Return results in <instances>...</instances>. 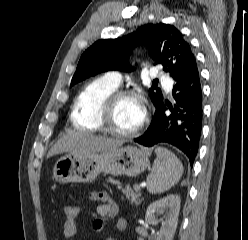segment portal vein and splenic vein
Wrapping results in <instances>:
<instances>
[{"label": "portal vein and splenic vein", "instance_id": "obj_1", "mask_svg": "<svg viewBox=\"0 0 248 240\" xmlns=\"http://www.w3.org/2000/svg\"><path fill=\"white\" fill-rule=\"evenodd\" d=\"M143 185V184H142ZM145 185V184H144ZM137 188H140V186L139 185H135Z\"/></svg>", "mask_w": 248, "mask_h": 240}]
</instances>
